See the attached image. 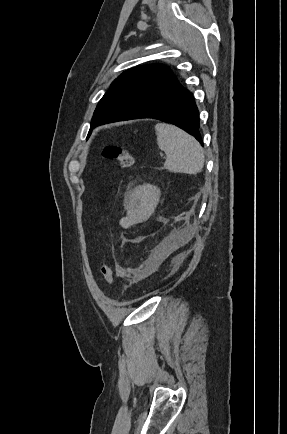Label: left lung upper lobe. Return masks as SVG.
Returning <instances> with one entry per match:
<instances>
[{
	"instance_id": "5c2ea615",
	"label": "left lung upper lobe",
	"mask_w": 287,
	"mask_h": 434,
	"mask_svg": "<svg viewBox=\"0 0 287 434\" xmlns=\"http://www.w3.org/2000/svg\"><path fill=\"white\" fill-rule=\"evenodd\" d=\"M180 87L166 66L154 64L129 69L112 82L98 103L91 129L105 123L129 120L140 109L162 100Z\"/></svg>"
}]
</instances>
